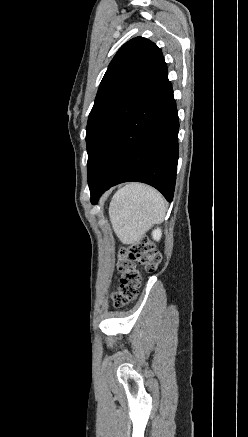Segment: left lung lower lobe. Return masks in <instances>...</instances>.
I'll list each match as a JSON object with an SVG mask.
<instances>
[{
    "instance_id": "left-lung-lower-lobe-1",
    "label": "left lung lower lobe",
    "mask_w": 248,
    "mask_h": 437,
    "mask_svg": "<svg viewBox=\"0 0 248 437\" xmlns=\"http://www.w3.org/2000/svg\"><path fill=\"white\" fill-rule=\"evenodd\" d=\"M179 119L168 78L132 113L114 136L89 185L91 203L110 187L128 181L149 184L172 201Z\"/></svg>"
}]
</instances>
